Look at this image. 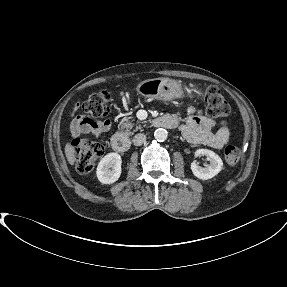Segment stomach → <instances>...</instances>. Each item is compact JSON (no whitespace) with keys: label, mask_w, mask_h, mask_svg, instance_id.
I'll use <instances>...</instances> for the list:
<instances>
[{"label":"stomach","mask_w":287,"mask_h":287,"mask_svg":"<svg viewBox=\"0 0 287 287\" xmlns=\"http://www.w3.org/2000/svg\"><path fill=\"white\" fill-rule=\"evenodd\" d=\"M136 91L144 98L162 101H171L184 96L182 86L167 78L145 80L138 84Z\"/></svg>","instance_id":"obj_1"}]
</instances>
